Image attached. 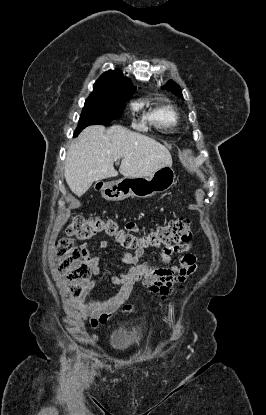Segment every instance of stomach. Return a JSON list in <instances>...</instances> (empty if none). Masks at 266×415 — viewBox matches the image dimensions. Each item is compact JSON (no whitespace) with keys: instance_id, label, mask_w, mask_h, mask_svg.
<instances>
[{"instance_id":"stomach-1","label":"stomach","mask_w":266,"mask_h":415,"mask_svg":"<svg viewBox=\"0 0 266 415\" xmlns=\"http://www.w3.org/2000/svg\"><path fill=\"white\" fill-rule=\"evenodd\" d=\"M176 174L171 166L158 169L150 176L124 177L106 182L101 188L102 196L109 201H121L130 196L149 198L169 190L175 184Z\"/></svg>"}]
</instances>
